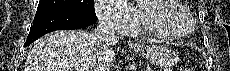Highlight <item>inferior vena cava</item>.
I'll return each mask as SVG.
<instances>
[{
    "label": "inferior vena cava",
    "mask_w": 230,
    "mask_h": 71,
    "mask_svg": "<svg viewBox=\"0 0 230 71\" xmlns=\"http://www.w3.org/2000/svg\"><path fill=\"white\" fill-rule=\"evenodd\" d=\"M94 35L97 39V42L102 44L109 45L118 41L113 25L105 18H99L98 26Z\"/></svg>",
    "instance_id": "602c4592"
}]
</instances>
